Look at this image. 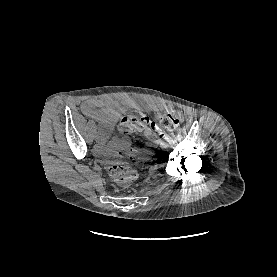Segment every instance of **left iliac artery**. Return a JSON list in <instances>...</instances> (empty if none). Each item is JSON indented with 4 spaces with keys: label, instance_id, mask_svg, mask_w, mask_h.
Instances as JSON below:
<instances>
[{
    "label": "left iliac artery",
    "instance_id": "44dca946",
    "mask_svg": "<svg viewBox=\"0 0 277 277\" xmlns=\"http://www.w3.org/2000/svg\"><path fill=\"white\" fill-rule=\"evenodd\" d=\"M173 137H174V134H170V135H165L164 139L167 141V142H172L173 141Z\"/></svg>",
    "mask_w": 277,
    "mask_h": 277
}]
</instances>
